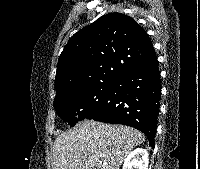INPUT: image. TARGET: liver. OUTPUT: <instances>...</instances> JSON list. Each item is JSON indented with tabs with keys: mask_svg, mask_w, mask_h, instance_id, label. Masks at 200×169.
Listing matches in <instances>:
<instances>
[{
	"mask_svg": "<svg viewBox=\"0 0 200 169\" xmlns=\"http://www.w3.org/2000/svg\"><path fill=\"white\" fill-rule=\"evenodd\" d=\"M144 141V134L128 126L83 121L54 141L52 169H120Z\"/></svg>",
	"mask_w": 200,
	"mask_h": 169,
	"instance_id": "6515ba94",
	"label": "liver"
}]
</instances>
